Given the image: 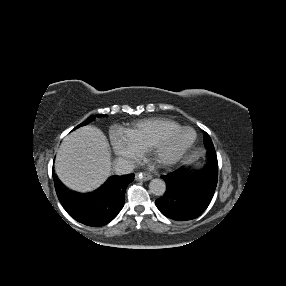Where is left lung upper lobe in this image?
Here are the masks:
<instances>
[{
  "label": "left lung upper lobe",
  "mask_w": 286,
  "mask_h": 286,
  "mask_svg": "<svg viewBox=\"0 0 286 286\" xmlns=\"http://www.w3.org/2000/svg\"><path fill=\"white\" fill-rule=\"evenodd\" d=\"M204 145L207 148V152L215 151L212 140L206 132H204Z\"/></svg>",
  "instance_id": "obj_1"
}]
</instances>
